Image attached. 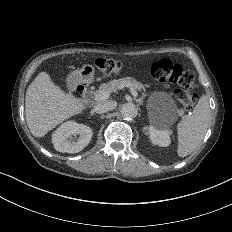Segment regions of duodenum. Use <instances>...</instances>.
Listing matches in <instances>:
<instances>
[{"mask_svg": "<svg viewBox=\"0 0 232 232\" xmlns=\"http://www.w3.org/2000/svg\"><path fill=\"white\" fill-rule=\"evenodd\" d=\"M72 91L77 98L83 99L86 95L87 87L81 81L75 80L72 83Z\"/></svg>", "mask_w": 232, "mask_h": 232, "instance_id": "410a0bca", "label": "duodenum"}]
</instances>
